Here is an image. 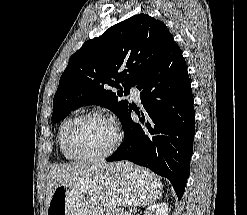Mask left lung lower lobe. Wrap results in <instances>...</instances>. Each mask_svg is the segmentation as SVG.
<instances>
[{
	"label": "left lung lower lobe",
	"instance_id": "1",
	"mask_svg": "<svg viewBox=\"0 0 247 215\" xmlns=\"http://www.w3.org/2000/svg\"><path fill=\"white\" fill-rule=\"evenodd\" d=\"M144 110L135 123L130 107L121 124L124 141L108 162L129 160L168 178L179 199L190 172L195 135L193 95L182 52L172 38L160 59L136 84Z\"/></svg>",
	"mask_w": 247,
	"mask_h": 215
}]
</instances>
